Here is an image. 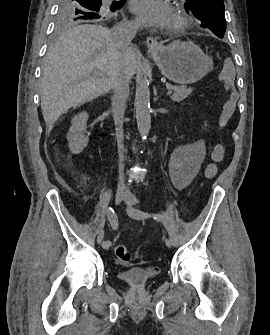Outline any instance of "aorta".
<instances>
[{
    "label": "aorta",
    "mask_w": 270,
    "mask_h": 335,
    "mask_svg": "<svg viewBox=\"0 0 270 335\" xmlns=\"http://www.w3.org/2000/svg\"><path fill=\"white\" fill-rule=\"evenodd\" d=\"M135 104L139 134L143 140H146V136H148L151 128L150 90L146 74H140L137 80Z\"/></svg>",
    "instance_id": "aorta-1"
}]
</instances>
